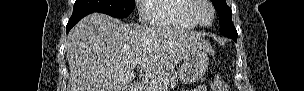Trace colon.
Returning <instances> with one entry per match:
<instances>
[{"mask_svg": "<svg viewBox=\"0 0 304 91\" xmlns=\"http://www.w3.org/2000/svg\"><path fill=\"white\" fill-rule=\"evenodd\" d=\"M211 90L212 91H228L229 85L222 76L215 75L212 80Z\"/></svg>", "mask_w": 304, "mask_h": 91, "instance_id": "1", "label": "colon"}]
</instances>
